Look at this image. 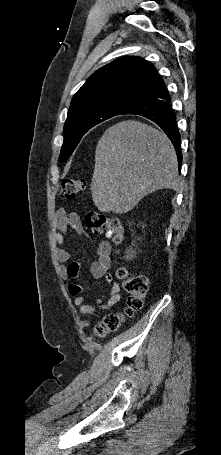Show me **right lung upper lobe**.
Listing matches in <instances>:
<instances>
[{
	"mask_svg": "<svg viewBox=\"0 0 221 455\" xmlns=\"http://www.w3.org/2000/svg\"><path fill=\"white\" fill-rule=\"evenodd\" d=\"M159 79L149 62L136 56L121 57L88 78L73 96L69 111L100 102L114 103L126 109L145 97Z\"/></svg>",
	"mask_w": 221,
	"mask_h": 455,
	"instance_id": "1",
	"label": "right lung upper lobe"
}]
</instances>
